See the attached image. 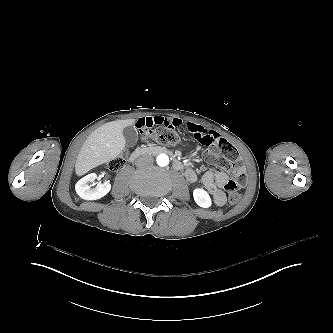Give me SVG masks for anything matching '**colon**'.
Wrapping results in <instances>:
<instances>
[{
    "label": "colon",
    "instance_id": "5ec220e1",
    "mask_svg": "<svg viewBox=\"0 0 333 333\" xmlns=\"http://www.w3.org/2000/svg\"><path fill=\"white\" fill-rule=\"evenodd\" d=\"M190 136L200 141L202 145H211L219 150L224 158L220 159V165L226 169L231 170L233 178L226 182L224 188L227 191V200L231 204H235L240 200V189L242 182L246 179L244 163L239 158L238 151L225 139L217 138L216 131L208 128L203 130V127L198 124H193L188 127ZM147 138L151 139L157 144L161 145H175L180 141V136L175 129H161L151 132H141ZM108 167L112 171L120 168L118 160H112L108 163Z\"/></svg>",
    "mask_w": 333,
    "mask_h": 333
}]
</instances>
